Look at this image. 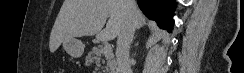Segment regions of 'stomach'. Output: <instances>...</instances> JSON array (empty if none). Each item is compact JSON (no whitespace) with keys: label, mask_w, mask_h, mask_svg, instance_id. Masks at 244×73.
Listing matches in <instances>:
<instances>
[{"label":"stomach","mask_w":244,"mask_h":73,"mask_svg":"<svg viewBox=\"0 0 244 73\" xmlns=\"http://www.w3.org/2000/svg\"><path fill=\"white\" fill-rule=\"evenodd\" d=\"M63 48L69 55L78 58L82 56L85 45L82 43L81 40L73 38L64 41Z\"/></svg>","instance_id":"stomach-1"}]
</instances>
